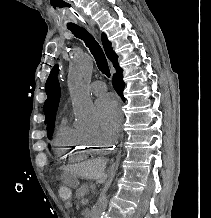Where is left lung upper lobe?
Listing matches in <instances>:
<instances>
[{
    "instance_id": "obj_1",
    "label": "left lung upper lobe",
    "mask_w": 211,
    "mask_h": 218,
    "mask_svg": "<svg viewBox=\"0 0 211 218\" xmlns=\"http://www.w3.org/2000/svg\"><path fill=\"white\" fill-rule=\"evenodd\" d=\"M54 73L57 74L58 73V66H54V69H53ZM52 71V72H53ZM52 72L46 82V93H47V100L44 104V113H45V116H46V119L49 117V113H50V105H49V102H50V94H51V84H52Z\"/></svg>"
}]
</instances>
